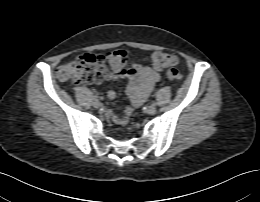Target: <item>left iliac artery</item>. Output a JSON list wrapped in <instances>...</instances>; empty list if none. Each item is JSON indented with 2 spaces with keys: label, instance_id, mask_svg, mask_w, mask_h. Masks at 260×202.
Here are the masks:
<instances>
[{
  "label": "left iliac artery",
  "instance_id": "1",
  "mask_svg": "<svg viewBox=\"0 0 260 202\" xmlns=\"http://www.w3.org/2000/svg\"><path fill=\"white\" fill-rule=\"evenodd\" d=\"M155 104H156L155 101H152V102H151V105H155Z\"/></svg>",
  "mask_w": 260,
  "mask_h": 202
}]
</instances>
